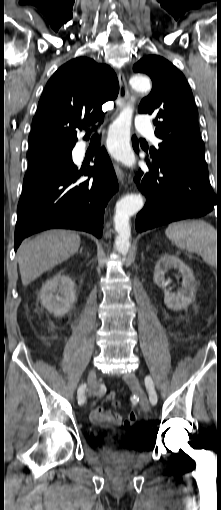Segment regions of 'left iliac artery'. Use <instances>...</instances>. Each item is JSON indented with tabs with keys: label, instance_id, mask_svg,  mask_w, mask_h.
<instances>
[{
	"label": "left iliac artery",
	"instance_id": "obj_1",
	"mask_svg": "<svg viewBox=\"0 0 221 510\" xmlns=\"http://www.w3.org/2000/svg\"><path fill=\"white\" fill-rule=\"evenodd\" d=\"M145 386L148 390L149 399L152 405H156L157 403V394L153 392V383L152 378L150 376H146L145 378Z\"/></svg>",
	"mask_w": 221,
	"mask_h": 510
}]
</instances>
